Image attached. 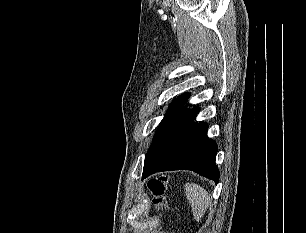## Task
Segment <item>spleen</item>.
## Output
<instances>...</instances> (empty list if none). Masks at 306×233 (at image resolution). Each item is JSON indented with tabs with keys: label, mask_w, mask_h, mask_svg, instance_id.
I'll list each match as a JSON object with an SVG mask.
<instances>
[{
	"label": "spleen",
	"mask_w": 306,
	"mask_h": 233,
	"mask_svg": "<svg viewBox=\"0 0 306 233\" xmlns=\"http://www.w3.org/2000/svg\"><path fill=\"white\" fill-rule=\"evenodd\" d=\"M185 195L191 205L194 218L199 222L210 204L208 192L198 184L186 183Z\"/></svg>",
	"instance_id": "1"
}]
</instances>
